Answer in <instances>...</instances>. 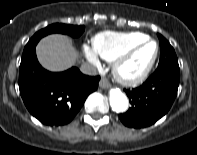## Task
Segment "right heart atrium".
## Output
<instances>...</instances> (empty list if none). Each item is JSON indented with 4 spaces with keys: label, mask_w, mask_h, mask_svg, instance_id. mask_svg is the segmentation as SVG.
I'll return each instance as SVG.
<instances>
[{
    "label": "right heart atrium",
    "mask_w": 197,
    "mask_h": 155,
    "mask_svg": "<svg viewBox=\"0 0 197 155\" xmlns=\"http://www.w3.org/2000/svg\"><path fill=\"white\" fill-rule=\"evenodd\" d=\"M83 52L86 58L94 64H98V57L95 51L88 45H83Z\"/></svg>",
    "instance_id": "1"
}]
</instances>
